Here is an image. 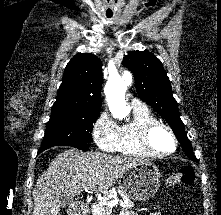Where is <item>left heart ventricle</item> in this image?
I'll use <instances>...</instances> for the list:
<instances>
[{"label":"left heart ventricle","instance_id":"b2bd125f","mask_svg":"<svg viewBox=\"0 0 221 215\" xmlns=\"http://www.w3.org/2000/svg\"><path fill=\"white\" fill-rule=\"evenodd\" d=\"M152 144L159 151H168L173 148V141L165 129H158L152 136Z\"/></svg>","mask_w":221,"mask_h":215}]
</instances>
